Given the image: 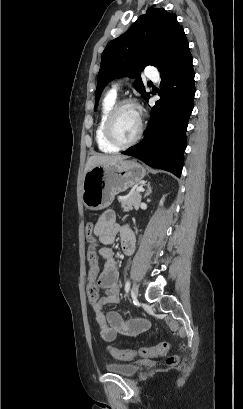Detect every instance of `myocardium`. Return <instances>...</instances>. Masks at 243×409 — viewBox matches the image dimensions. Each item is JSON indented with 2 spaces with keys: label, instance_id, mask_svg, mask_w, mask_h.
<instances>
[{
  "label": "myocardium",
  "instance_id": "myocardium-1",
  "mask_svg": "<svg viewBox=\"0 0 243 409\" xmlns=\"http://www.w3.org/2000/svg\"><path fill=\"white\" fill-rule=\"evenodd\" d=\"M127 106H131L134 107L138 110L139 112V130L137 132V134L130 140L124 141L121 140L115 132L114 129V121L115 118L117 116V114L120 112L121 109H123L124 107ZM144 132V120L143 117L141 115L140 112V107L138 105L137 102H135L134 100H130V99H124L121 100L117 103H115V105L112 107V109L110 110L109 114L107 115V118L105 120V124H104V133H105V137L106 139L114 146L118 147V148H123V147H128L131 146L133 144H135L143 135Z\"/></svg>",
  "mask_w": 243,
  "mask_h": 409
}]
</instances>
